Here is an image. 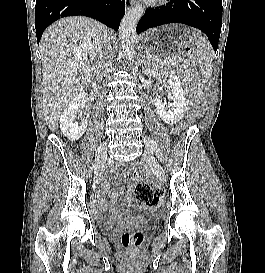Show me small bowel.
<instances>
[{
	"instance_id": "1",
	"label": "small bowel",
	"mask_w": 265,
	"mask_h": 273,
	"mask_svg": "<svg viewBox=\"0 0 265 273\" xmlns=\"http://www.w3.org/2000/svg\"><path fill=\"white\" fill-rule=\"evenodd\" d=\"M95 202L97 204V206L99 207H103L104 206V199L103 196L101 194H98L95 198Z\"/></svg>"
}]
</instances>
